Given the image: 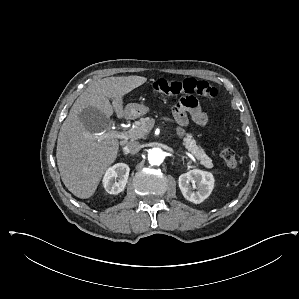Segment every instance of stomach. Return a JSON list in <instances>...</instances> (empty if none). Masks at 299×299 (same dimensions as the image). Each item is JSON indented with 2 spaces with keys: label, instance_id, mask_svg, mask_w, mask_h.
I'll return each instance as SVG.
<instances>
[{
  "label": "stomach",
  "instance_id": "stomach-1",
  "mask_svg": "<svg viewBox=\"0 0 299 299\" xmlns=\"http://www.w3.org/2000/svg\"><path fill=\"white\" fill-rule=\"evenodd\" d=\"M149 111V107L143 104L130 103L126 106V117L129 119H136L145 115Z\"/></svg>",
  "mask_w": 299,
  "mask_h": 299
}]
</instances>
